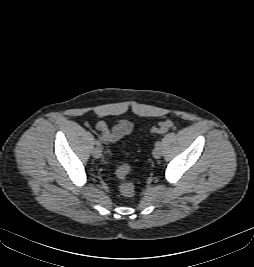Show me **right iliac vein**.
I'll use <instances>...</instances> for the list:
<instances>
[{"label": "right iliac vein", "instance_id": "1", "mask_svg": "<svg viewBox=\"0 0 254 267\" xmlns=\"http://www.w3.org/2000/svg\"><path fill=\"white\" fill-rule=\"evenodd\" d=\"M92 154L94 158L98 159L102 156V149L100 147H96L94 148Z\"/></svg>", "mask_w": 254, "mask_h": 267}]
</instances>
